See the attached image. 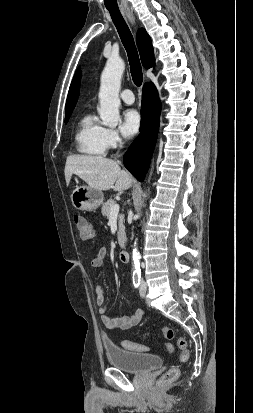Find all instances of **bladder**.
I'll use <instances>...</instances> for the list:
<instances>
[{"instance_id":"1","label":"bladder","mask_w":253,"mask_h":413,"mask_svg":"<svg viewBox=\"0 0 253 413\" xmlns=\"http://www.w3.org/2000/svg\"><path fill=\"white\" fill-rule=\"evenodd\" d=\"M103 348L109 363L125 372L142 373L158 368L163 363L157 354L133 352L108 340H104Z\"/></svg>"}]
</instances>
